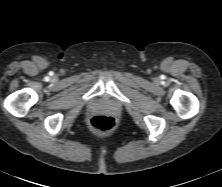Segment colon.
Listing matches in <instances>:
<instances>
[{
    "label": "colon",
    "mask_w": 222,
    "mask_h": 187,
    "mask_svg": "<svg viewBox=\"0 0 222 187\" xmlns=\"http://www.w3.org/2000/svg\"><path fill=\"white\" fill-rule=\"evenodd\" d=\"M115 120L111 116L96 115L90 120V127L99 133H107L114 129Z\"/></svg>",
    "instance_id": "1"
}]
</instances>
